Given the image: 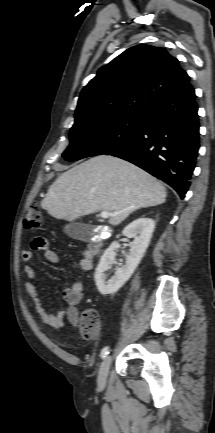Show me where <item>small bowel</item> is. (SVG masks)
I'll return each mask as SVG.
<instances>
[{
  "label": "small bowel",
  "instance_id": "1",
  "mask_svg": "<svg viewBox=\"0 0 215 433\" xmlns=\"http://www.w3.org/2000/svg\"><path fill=\"white\" fill-rule=\"evenodd\" d=\"M31 250L22 252V259L29 263L33 260L34 251H42L45 259L52 264H59L60 259L57 253L49 248L47 241L44 238H35L31 244ZM94 255L88 249H85L81 254L79 261V270L83 272L90 271L93 267ZM25 274L28 280L25 282L24 288L33 303V308L41 320L55 329L63 328L67 322L76 325L79 322L78 306L84 297V285L81 281H74L71 285L65 288L62 292L63 299L68 305L66 312L54 311L49 312L45 309L39 297L36 286L33 283L35 278V270L32 266H25Z\"/></svg>",
  "mask_w": 215,
  "mask_h": 433
}]
</instances>
